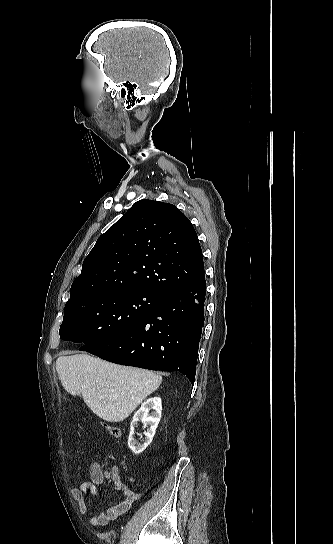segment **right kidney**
Listing matches in <instances>:
<instances>
[{"instance_id":"right-kidney-1","label":"right kidney","mask_w":333,"mask_h":544,"mask_svg":"<svg viewBox=\"0 0 333 544\" xmlns=\"http://www.w3.org/2000/svg\"><path fill=\"white\" fill-rule=\"evenodd\" d=\"M153 410L151 414L149 411ZM162 413V400L160 397H152L147 399L142 403L140 409L135 412L133 420L130 426V435L128 438V446L132 452L136 455L142 453L147 446L152 442V439L155 435L156 428L160 422ZM141 420L144 424V428L149 426L147 431L144 432L145 441L140 444L134 439V427L138 424V421Z\"/></svg>"}]
</instances>
